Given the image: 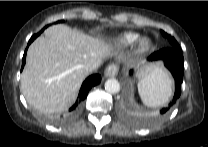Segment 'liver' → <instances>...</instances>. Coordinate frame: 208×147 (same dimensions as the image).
<instances>
[{"instance_id":"obj_1","label":"liver","mask_w":208,"mask_h":147,"mask_svg":"<svg viewBox=\"0 0 208 147\" xmlns=\"http://www.w3.org/2000/svg\"><path fill=\"white\" fill-rule=\"evenodd\" d=\"M111 55V45L103 40L63 24L52 25L28 48L21 91L40 112H62L75 101L88 74L85 66L97 69ZM158 70L155 64L145 65L139 75L148 77Z\"/></svg>"}]
</instances>
